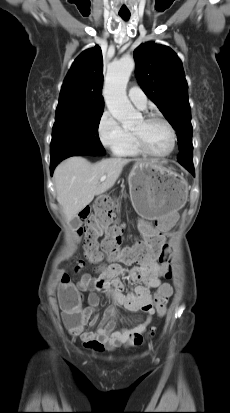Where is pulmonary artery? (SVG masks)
Returning <instances> with one entry per match:
<instances>
[{"label": "pulmonary artery", "mask_w": 230, "mask_h": 413, "mask_svg": "<svg viewBox=\"0 0 230 413\" xmlns=\"http://www.w3.org/2000/svg\"><path fill=\"white\" fill-rule=\"evenodd\" d=\"M128 96L129 99L132 101V103L140 108L144 109L147 105V97L145 93L137 86H133L129 89L128 91Z\"/></svg>", "instance_id": "obj_1"}]
</instances>
